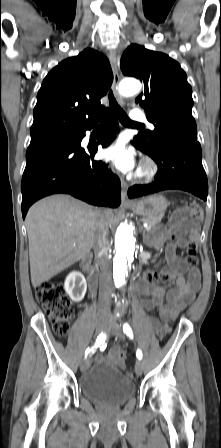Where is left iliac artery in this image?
Segmentation results:
<instances>
[{"instance_id": "left-iliac-artery-1", "label": "left iliac artery", "mask_w": 221, "mask_h": 448, "mask_svg": "<svg viewBox=\"0 0 221 448\" xmlns=\"http://www.w3.org/2000/svg\"><path fill=\"white\" fill-rule=\"evenodd\" d=\"M123 332H124L130 339L133 338V332H132V329H131V327L129 326V324L125 323V324L123 325ZM136 356H137V358H138L139 360L142 359L143 354H142V351H141L140 349H137Z\"/></svg>"}]
</instances>
